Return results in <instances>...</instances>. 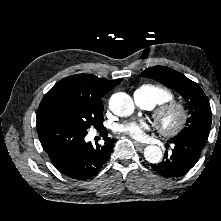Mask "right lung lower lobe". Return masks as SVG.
I'll use <instances>...</instances> for the list:
<instances>
[{"instance_id": "obj_1", "label": "right lung lower lobe", "mask_w": 221, "mask_h": 221, "mask_svg": "<svg viewBox=\"0 0 221 221\" xmlns=\"http://www.w3.org/2000/svg\"><path fill=\"white\" fill-rule=\"evenodd\" d=\"M39 140L53 165L64 175L87 180L96 175L106 163L115 139L104 136V145L85 142L87 132L52 120H37Z\"/></svg>"}]
</instances>
